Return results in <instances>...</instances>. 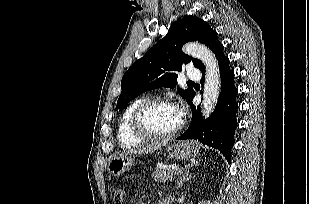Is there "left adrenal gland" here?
<instances>
[{
    "mask_svg": "<svg viewBox=\"0 0 309 204\" xmlns=\"http://www.w3.org/2000/svg\"><path fill=\"white\" fill-rule=\"evenodd\" d=\"M194 164H192L191 166L186 167V169L184 170V172L182 173V175L179 176L178 180L176 181L177 184V188H181L183 186V183L185 181L190 180L192 177V173H190V169ZM195 165H199L198 162L195 163Z\"/></svg>",
    "mask_w": 309,
    "mask_h": 204,
    "instance_id": "obj_1",
    "label": "left adrenal gland"
}]
</instances>
